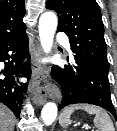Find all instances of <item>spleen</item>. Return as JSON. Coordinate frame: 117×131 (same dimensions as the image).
I'll list each match as a JSON object with an SVG mask.
<instances>
[{"mask_svg":"<svg viewBox=\"0 0 117 131\" xmlns=\"http://www.w3.org/2000/svg\"><path fill=\"white\" fill-rule=\"evenodd\" d=\"M79 109L84 110L89 114H95L93 122L99 131H115L113 122L108 113L102 108L90 104H75L65 108L59 117L60 125L62 127L68 126L71 123V114Z\"/></svg>","mask_w":117,"mask_h":131,"instance_id":"obj_1","label":"spleen"}]
</instances>
